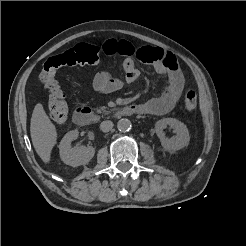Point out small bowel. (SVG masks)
<instances>
[{"label":"small bowel","instance_id":"obj_1","mask_svg":"<svg viewBox=\"0 0 246 246\" xmlns=\"http://www.w3.org/2000/svg\"><path fill=\"white\" fill-rule=\"evenodd\" d=\"M95 47L99 53L106 55H120L124 58V77H114L107 71H101L93 79L92 89L101 94H108L121 89L125 84L138 80L140 71L135 64V58L140 62L153 66L155 72L166 78L164 92L155 98L138 104L140 114L164 115L176 106L184 90L185 81L177 58L161 48L142 47L135 49L125 40L107 39L100 46Z\"/></svg>","mask_w":246,"mask_h":246}]
</instances>
